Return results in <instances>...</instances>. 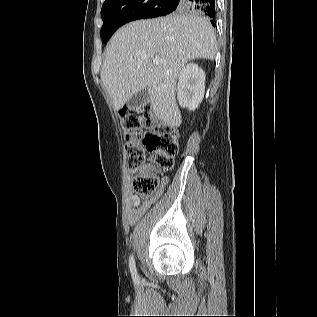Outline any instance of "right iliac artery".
Returning a JSON list of instances; mask_svg holds the SVG:
<instances>
[{
    "label": "right iliac artery",
    "instance_id": "1",
    "mask_svg": "<svg viewBox=\"0 0 317 317\" xmlns=\"http://www.w3.org/2000/svg\"><path fill=\"white\" fill-rule=\"evenodd\" d=\"M129 268H130V272L132 275V279L135 283L138 282V274H137V270H136V266H135V260L133 255L130 256L129 258Z\"/></svg>",
    "mask_w": 317,
    "mask_h": 317
}]
</instances>
